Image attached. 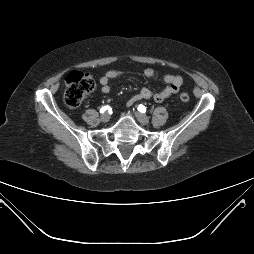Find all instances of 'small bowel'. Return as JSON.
Here are the masks:
<instances>
[{"label":"small bowel","mask_w":254,"mask_h":254,"mask_svg":"<svg viewBox=\"0 0 254 254\" xmlns=\"http://www.w3.org/2000/svg\"><path fill=\"white\" fill-rule=\"evenodd\" d=\"M121 75V71L118 69L108 70L100 79L99 84L101 87V92L108 94L111 90L110 81L118 78ZM144 75L151 78L155 75V71L152 68H146L144 70ZM164 82L166 86L159 92L153 93L149 88H142L140 92L132 96L128 102L127 106L133 105L135 102L140 100L153 99L155 102L161 103L169 98L171 95L176 94L181 86L183 85V78L179 75L167 74L164 76Z\"/></svg>","instance_id":"small-bowel-1"}]
</instances>
